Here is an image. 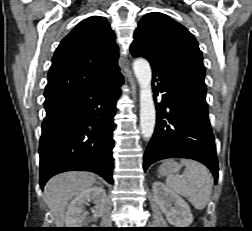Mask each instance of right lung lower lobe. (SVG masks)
<instances>
[{"label": "right lung lower lobe", "mask_w": 252, "mask_h": 231, "mask_svg": "<svg viewBox=\"0 0 252 231\" xmlns=\"http://www.w3.org/2000/svg\"><path fill=\"white\" fill-rule=\"evenodd\" d=\"M123 77L82 89L46 110L40 138V186L70 170L91 171L112 183L113 118Z\"/></svg>", "instance_id": "obj_1"}]
</instances>
